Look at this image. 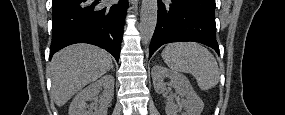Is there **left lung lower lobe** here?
I'll return each mask as SVG.
<instances>
[{"label": "left lung lower lobe", "instance_id": "obj_1", "mask_svg": "<svg viewBox=\"0 0 285 115\" xmlns=\"http://www.w3.org/2000/svg\"><path fill=\"white\" fill-rule=\"evenodd\" d=\"M214 12L215 0H158L149 57L161 45L176 41L199 42L219 53Z\"/></svg>", "mask_w": 285, "mask_h": 115}]
</instances>
